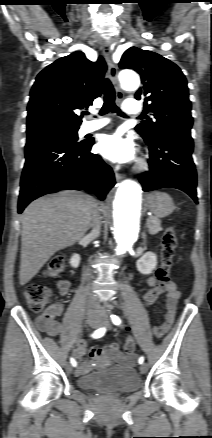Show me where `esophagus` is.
<instances>
[{
    "instance_id": "esophagus-1",
    "label": "esophagus",
    "mask_w": 212,
    "mask_h": 438,
    "mask_svg": "<svg viewBox=\"0 0 212 438\" xmlns=\"http://www.w3.org/2000/svg\"><path fill=\"white\" fill-rule=\"evenodd\" d=\"M103 55L107 61L108 64V72H109V77L115 87L116 90V96H117V100L121 101L123 99V93L120 90L119 86H118V81H117V67L115 66V64L112 62V57H111V50H110V45L108 43L104 44V48H103ZM115 178L117 181H120L122 179V175L119 172H115Z\"/></svg>"
}]
</instances>
